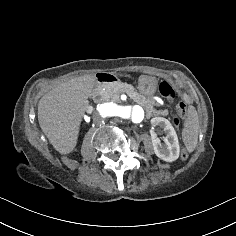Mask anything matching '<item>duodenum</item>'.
I'll list each match as a JSON object with an SVG mask.
<instances>
[{
  "label": "duodenum",
  "mask_w": 236,
  "mask_h": 236,
  "mask_svg": "<svg viewBox=\"0 0 236 236\" xmlns=\"http://www.w3.org/2000/svg\"><path fill=\"white\" fill-rule=\"evenodd\" d=\"M116 81H118L117 76L111 73H99L96 76V83L98 85L115 83Z\"/></svg>",
  "instance_id": "obj_1"
}]
</instances>
